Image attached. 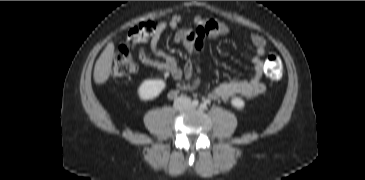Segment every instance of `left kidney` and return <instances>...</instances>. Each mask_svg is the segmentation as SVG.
I'll return each mask as SVG.
<instances>
[{"label":"left kidney","mask_w":365,"mask_h":180,"mask_svg":"<svg viewBox=\"0 0 365 180\" xmlns=\"http://www.w3.org/2000/svg\"><path fill=\"white\" fill-rule=\"evenodd\" d=\"M231 104H232L233 107H235V108H237L239 110H242L244 108V106H245V102L241 98H233L231 100Z\"/></svg>","instance_id":"1"}]
</instances>
